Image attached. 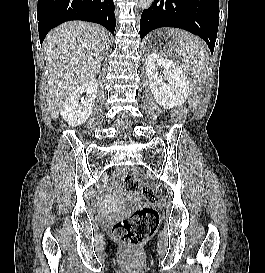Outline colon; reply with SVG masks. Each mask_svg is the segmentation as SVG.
Here are the masks:
<instances>
[{"mask_svg": "<svg viewBox=\"0 0 265 273\" xmlns=\"http://www.w3.org/2000/svg\"><path fill=\"white\" fill-rule=\"evenodd\" d=\"M125 190L139 194L147 202L156 201L155 194L141 183L137 170H129L124 178ZM159 225V214L149 203L140 205L131 215L116 222L112 228L114 238L129 248H136L154 235Z\"/></svg>", "mask_w": 265, "mask_h": 273, "instance_id": "1", "label": "colon"}]
</instances>
